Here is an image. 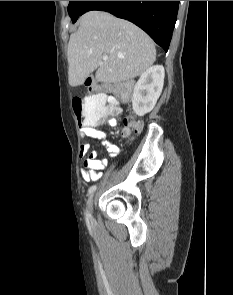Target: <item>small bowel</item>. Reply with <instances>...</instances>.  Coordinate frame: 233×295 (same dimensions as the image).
<instances>
[{
	"instance_id": "1",
	"label": "small bowel",
	"mask_w": 233,
	"mask_h": 295,
	"mask_svg": "<svg viewBox=\"0 0 233 295\" xmlns=\"http://www.w3.org/2000/svg\"><path fill=\"white\" fill-rule=\"evenodd\" d=\"M111 124H114V121ZM80 133L83 139L94 138L99 140L107 148L110 157H116L120 153L119 147L108 141L104 132L95 128L93 124L81 127ZM89 147L87 141H83L81 144L80 156L83 158L81 175L86 181H95L102 176V169L107 165L108 160L106 158L100 160L96 151H91L86 157Z\"/></svg>"
}]
</instances>
